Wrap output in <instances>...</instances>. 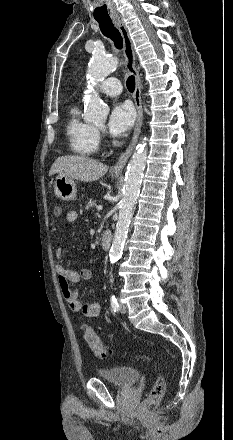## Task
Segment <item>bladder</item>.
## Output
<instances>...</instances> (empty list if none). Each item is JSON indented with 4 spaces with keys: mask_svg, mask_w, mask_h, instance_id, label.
Wrapping results in <instances>:
<instances>
[{
    "mask_svg": "<svg viewBox=\"0 0 233 440\" xmlns=\"http://www.w3.org/2000/svg\"><path fill=\"white\" fill-rule=\"evenodd\" d=\"M96 376L115 386L127 388L132 387L140 379L141 373L134 367H113L98 369Z\"/></svg>",
    "mask_w": 233,
    "mask_h": 440,
    "instance_id": "bladder-1",
    "label": "bladder"
}]
</instances>
